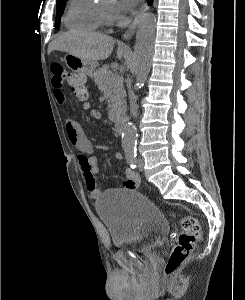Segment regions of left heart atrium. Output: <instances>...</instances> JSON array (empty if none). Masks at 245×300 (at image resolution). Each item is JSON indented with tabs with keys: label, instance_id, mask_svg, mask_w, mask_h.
Returning a JSON list of instances; mask_svg holds the SVG:
<instances>
[{
	"label": "left heart atrium",
	"instance_id": "1",
	"mask_svg": "<svg viewBox=\"0 0 245 300\" xmlns=\"http://www.w3.org/2000/svg\"><path fill=\"white\" fill-rule=\"evenodd\" d=\"M139 2V0H120L122 5V10L128 12L134 8V6Z\"/></svg>",
	"mask_w": 245,
	"mask_h": 300
}]
</instances>
